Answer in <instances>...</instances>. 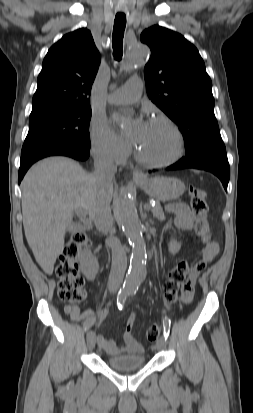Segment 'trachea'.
Returning <instances> with one entry per match:
<instances>
[{
    "instance_id": "obj_1",
    "label": "trachea",
    "mask_w": 253,
    "mask_h": 413,
    "mask_svg": "<svg viewBox=\"0 0 253 413\" xmlns=\"http://www.w3.org/2000/svg\"><path fill=\"white\" fill-rule=\"evenodd\" d=\"M126 26V16L117 14L114 20V29L112 34L113 55L116 60L120 61L123 55V36Z\"/></svg>"
}]
</instances>
